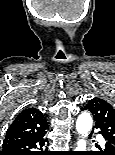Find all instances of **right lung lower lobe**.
I'll use <instances>...</instances> for the list:
<instances>
[{"label": "right lung lower lobe", "instance_id": "1", "mask_svg": "<svg viewBox=\"0 0 115 155\" xmlns=\"http://www.w3.org/2000/svg\"><path fill=\"white\" fill-rule=\"evenodd\" d=\"M48 139L44 135L3 147L0 155H50L46 149Z\"/></svg>", "mask_w": 115, "mask_h": 155}]
</instances>
